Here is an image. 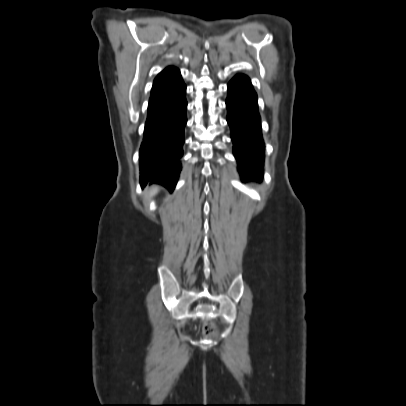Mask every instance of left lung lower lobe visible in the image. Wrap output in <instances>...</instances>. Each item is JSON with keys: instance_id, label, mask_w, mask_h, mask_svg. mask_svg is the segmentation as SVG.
<instances>
[{"instance_id": "obj_1", "label": "left lung lower lobe", "mask_w": 406, "mask_h": 406, "mask_svg": "<svg viewBox=\"0 0 406 406\" xmlns=\"http://www.w3.org/2000/svg\"><path fill=\"white\" fill-rule=\"evenodd\" d=\"M227 121L231 128L233 153L238 171L244 177H261L264 142L258 112L257 95L247 76L236 75L228 84Z\"/></svg>"}]
</instances>
